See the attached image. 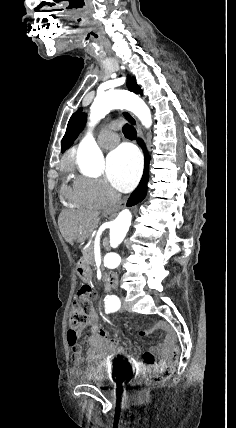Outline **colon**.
<instances>
[{
    "mask_svg": "<svg viewBox=\"0 0 236 428\" xmlns=\"http://www.w3.org/2000/svg\"><path fill=\"white\" fill-rule=\"evenodd\" d=\"M93 295V289L89 285H83L77 291L74 302L70 311V329L68 331V341L71 345L77 342L76 330L86 320V312L90 305V298ZM152 331V328L142 327L143 334ZM169 348L168 362L163 365L157 372L148 375L145 383L148 386L159 385L167 381L174 373L175 366L180 358V349L174 340L165 337Z\"/></svg>",
    "mask_w": 236,
    "mask_h": 428,
    "instance_id": "5ec220e1",
    "label": "colon"
}]
</instances>
